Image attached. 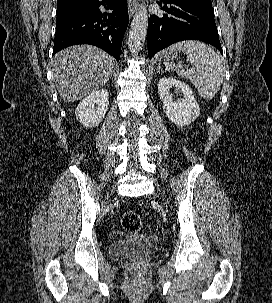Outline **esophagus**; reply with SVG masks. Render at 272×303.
Here are the masks:
<instances>
[{
  "mask_svg": "<svg viewBox=\"0 0 272 303\" xmlns=\"http://www.w3.org/2000/svg\"><path fill=\"white\" fill-rule=\"evenodd\" d=\"M136 10H137V0H129L128 1L129 16L132 17Z\"/></svg>",
  "mask_w": 272,
  "mask_h": 303,
  "instance_id": "esophagus-1",
  "label": "esophagus"
}]
</instances>
